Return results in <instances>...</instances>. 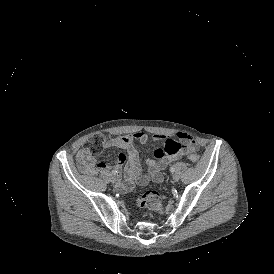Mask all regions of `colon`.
I'll return each instance as SVG.
<instances>
[{
  "mask_svg": "<svg viewBox=\"0 0 274 274\" xmlns=\"http://www.w3.org/2000/svg\"><path fill=\"white\" fill-rule=\"evenodd\" d=\"M104 146L103 136L101 134L90 137L84 146L85 153L88 155H98L102 152ZM188 159L191 160L193 165H200L202 163V156L200 154H188ZM139 208H147L157 213H162V197L154 190H148L142 193L136 199Z\"/></svg>",
  "mask_w": 274,
  "mask_h": 274,
  "instance_id": "5ec220e1",
  "label": "colon"
}]
</instances>
